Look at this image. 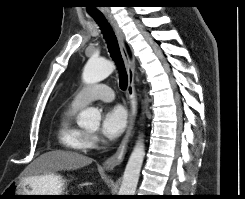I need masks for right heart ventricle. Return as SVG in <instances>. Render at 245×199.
I'll return each instance as SVG.
<instances>
[{
  "label": "right heart ventricle",
  "mask_w": 245,
  "mask_h": 199,
  "mask_svg": "<svg viewBox=\"0 0 245 199\" xmlns=\"http://www.w3.org/2000/svg\"><path fill=\"white\" fill-rule=\"evenodd\" d=\"M80 109L73 104L69 105L62 112L58 124V137L61 144L73 153H84L91 148L88 134L75 123L76 114Z\"/></svg>",
  "instance_id": "right-heart-ventricle-1"
}]
</instances>
